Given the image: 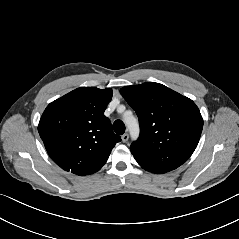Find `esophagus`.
Here are the masks:
<instances>
[{"instance_id":"34e87169","label":"esophagus","mask_w":239,"mask_h":239,"mask_svg":"<svg viewBox=\"0 0 239 239\" xmlns=\"http://www.w3.org/2000/svg\"><path fill=\"white\" fill-rule=\"evenodd\" d=\"M128 139H129V135H128L127 133H125V134L122 135V141H123L124 143L127 142Z\"/></svg>"}]
</instances>
